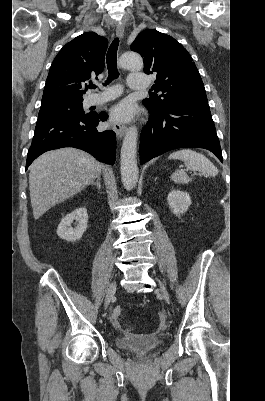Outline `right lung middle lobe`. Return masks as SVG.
Wrapping results in <instances>:
<instances>
[{
	"label": "right lung middle lobe",
	"instance_id": "dd1d6c3e",
	"mask_svg": "<svg viewBox=\"0 0 265 401\" xmlns=\"http://www.w3.org/2000/svg\"><path fill=\"white\" fill-rule=\"evenodd\" d=\"M82 101L83 99H71L42 104L39 111L38 119L51 115H84L85 113L83 111Z\"/></svg>",
	"mask_w": 265,
	"mask_h": 401
}]
</instances>
